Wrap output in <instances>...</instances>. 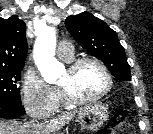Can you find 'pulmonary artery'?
<instances>
[{"mask_svg":"<svg viewBox=\"0 0 153 134\" xmlns=\"http://www.w3.org/2000/svg\"><path fill=\"white\" fill-rule=\"evenodd\" d=\"M56 53L61 59L69 61L74 55L73 45L68 41H61L57 46Z\"/></svg>","mask_w":153,"mask_h":134,"instance_id":"obj_1","label":"pulmonary artery"}]
</instances>
